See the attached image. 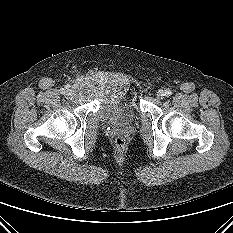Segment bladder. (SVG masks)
<instances>
[{
	"mask_svg": "<svg viewBox=\"0 0 233 233\" xmlns=\"http://www.w3.org/2000/svg\"><path fill=\"white\" fill-rule=\"evenodd\" d=\"M82 87L98 92V114L104 121L124 126L136 120L139 106L127 81L115 77H90L83 80Z\"/></svg>",
	"mask_w": 233,
	"mask_h": 233,
	"instance_id": "bladder-1",
	"label": "bladder"
}]
</instances>
